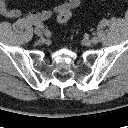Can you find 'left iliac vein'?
I'll return each mask as SVG.
<instances>
[{
	"mask_svg": "<svg viewBox=\"0 0 128 128\" xmlns=\"http://www.w3.org/2000/svg\"><path fill=\"white\" fill-rule=\"evenodd\" d=\"M83 43H84L86 46H90L93 42H92V40H90V39H88V38H85V39L83 40Z\"/></svg>",
	"mask_w": 128,
	"mask_h": 128,
	"instance_id": "obj_1",
	"label": "left iliac vein"
}]
</instances>
